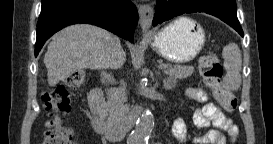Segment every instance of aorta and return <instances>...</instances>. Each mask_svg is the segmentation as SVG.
Instances as JSON below:
<instances>
[{"instance_id": "762f6f07", "label": "aorta", "mask_w": 273, "mask_h": 144, "mask_svg": "<svg viewBox=\"0 0 273 144\" xmlns=\"http://www.w3.org/2000/svg\"><path fill=\"white\" fill-rule=\"evenodd\" d=\"M154 127V117L149 108H145L130 136L131 144H148Z\"/></svg>"}]
</instances>
